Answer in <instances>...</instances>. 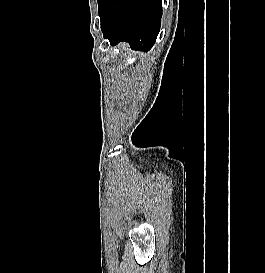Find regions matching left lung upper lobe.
<instances>
[{
	"label": "left lung upper lobe",
	"instance_id": "5c2ea615",
	"mask_svg": "<svg viewBox=\"0 0 265 273\" xmlns=\"http://www.w3.org/2000/svg\"><path fill=\"white\" fill-rule=\"evenodd\" d=\"M99 10V16H100V19H101V23L103 22L104 18L106 17V11L105 10H102L101 8L98 9Z\"/></svg>",
	"mask_w": 265,
	"mask_h": 273
}]
</instances>
